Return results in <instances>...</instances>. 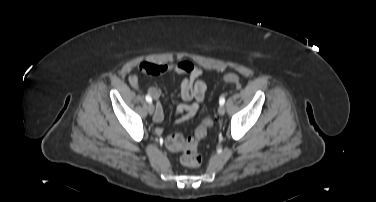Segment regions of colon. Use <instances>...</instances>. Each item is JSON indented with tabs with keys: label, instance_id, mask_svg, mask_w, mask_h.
Instances as JSON below:
<instances>
[{
	"label": "colon",
	"instance_id": "1",
	"mask_svg": "<svg viewBox=\"0 0 376 202\" xmlns=\"http://www.w3.org/2000/svg\"><path fill=\"white\" fill-rule=\"evenodd\" d=\"M224 81L238 87L241 85V78L235 73L226 74ZM211 124L212 120L205 118L191 135L183 136L179 133L169 134L165 138V145L171 151L182 152L181 162L184 166L198 167L202 162V157L198 149V140L206 135Z\"/></svg>",
	"mask_w": 376,
	"mask_h": 202
}]
</instances>
